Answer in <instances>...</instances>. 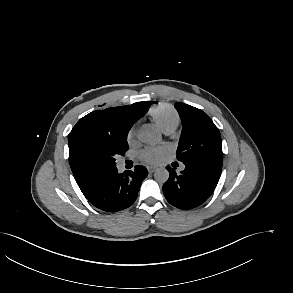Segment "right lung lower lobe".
Masks as SVG:
<instances>
[{"label": "right lung lower lobe", "instance_id": "obj_1", "mask_svg": "<svg viewBox=\"0 0 293 293\" xmlns=\"http://www.w3.org/2000/svg\"><path fill=\"white\" fill-rule=\"evenodd\" d=\"M148 174L144 166H135L134 171L118 173L117 168L108 173L98 187L86 198L95 207L117 212L131 206L137 198L141 182Z\"/></svg>", "mask_w": 293, "mask_h": 293}]
</instances>
